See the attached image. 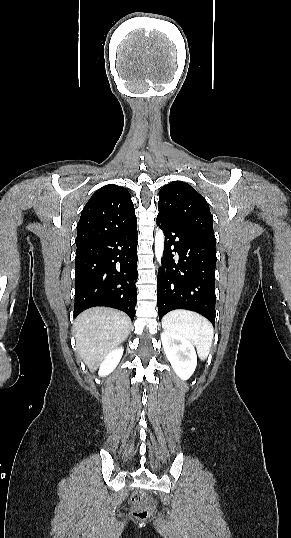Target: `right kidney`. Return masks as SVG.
I'll list each match as a JSON object with an SVG mask.
<instances>
[{"instance_id":"right-kidney-1","label":"right kidney","mask_w":291,"mask_h":538,"mask_svg":"<svg viewBox=\"0 0 291 538\" xmlns=\"http://www.w3.org/2000/svg\"><path fill=\"white\" fill-rule=\"evenodd\" d=\"M123 351L124 349L122 347H118L105 357L99 368V376H107L115 369L120 362Z\"/></svg>"}]
</instances>
